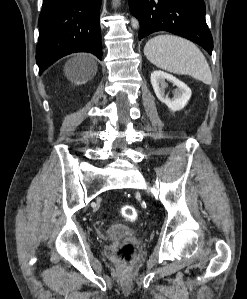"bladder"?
<instances>
[{
    "label": "bladder",
    "instance_id": "obj_1",
    "mask_svg": "<svg viewBox=\"0 0 247 299\" xmlns=\"http://www.w3.org/2000/svg\"><path fill=\"white\" fill-rule=\"evenodd\" d=\"M134 232H135V230L128 226H125L122 224H115V225L110 226L106 230L105 236L108 239H116L119 237L133 234Z\"/></svg>",
    "mask_w": 247,
    "mask_h": 299
}]
</instances>
